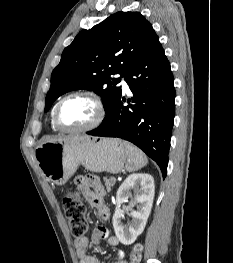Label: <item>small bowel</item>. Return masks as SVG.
Here are the masks:
<instances>
[{
  "label": "small bowel",
  "instance_id": "obj_1",
  "mask_svg": "<svg viewBox=\"0 0 233 263\" xmlns=\"http://www.w3.org/2000/svg\"><path fill=\"white\" fill-rule=\"evenodd\" d=\"M75 184L88 204L97 210L98 215L105 220L108 219L109 209L104 204L106 192L99 178L94 175L82 176L75 180ZM102 240H105L110 246H117L119 244L118 238L111 236L105 227L94 229L90 240L86 237L75 240V250L80 263H100L97 257L88 253V248L90 244L97 245ZM116 255L115 260L111 263H128L124 259L125 253L122 249H117Z\"/></svg>",
  "mask_w": 233,
  "mask_h": 263
}]
</instances>
